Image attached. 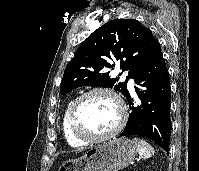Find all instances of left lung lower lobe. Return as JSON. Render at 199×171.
<instances>
[{
    "label": "left lung lower lobe",
    "mask_w": 199,
    "mask_h": 171,
    "mask_svg": "<svg viewBox=\"0 0 199 171\" xmlns=\"http://www.w3.org/2000/svg\"><path fill=\"white\" fill-rule=\"evenodd\" d=\"M139 105H133L127 91L130 106L128 123L120 137L139 135L153 140L168 154L171 138V89L168 69L158 44L150 57L134 76Z\"/></svg>",
    "instance_id": "1"
}]
</instances>
